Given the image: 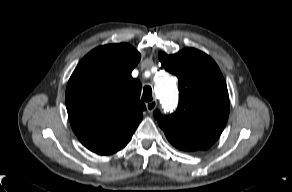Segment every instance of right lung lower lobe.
Segmentation results:
<instances>
[{"instance_id":"98d812e1","label":"right lung lower lobe","mask_w":292,"mask_h":192,"mask_svg":"<svg viewBox=\"0 0 292 192\" xmlns=\"http://www.w3.org/2000/svg\"><path fill=\"white\" fill-rule=\"evenodd\" d=\"M122 148H123V147H122ZM122 148H120V149H122ZM120 149L115 150V151H112V152H103V153H98V154H100V155H109V154H113V153L119 151Z\"/></svg>"}]
</instances>
